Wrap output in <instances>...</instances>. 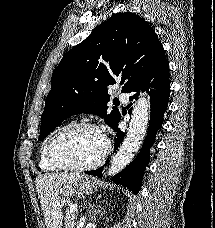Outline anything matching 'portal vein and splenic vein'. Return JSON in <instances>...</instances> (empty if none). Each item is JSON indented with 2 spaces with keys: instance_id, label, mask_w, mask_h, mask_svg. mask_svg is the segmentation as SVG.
<instances>
[{
  "instance_id": "18ae733b",
  "label": "portal vein and splenic vein",
  "mask_w": 215,
  "mask_h": 228,
  "mask_svg": "<svg viewBox=\"0 0 215 228\" xmlns=\"http://www.w3.org/2000/svg\"><path fill=\"white\" fill-rule=\"evenodd\" d=\"M71 210L72 212H75V210H77V204H74V206H71Z\"/></svg>"
}]
</instances>
